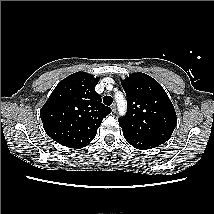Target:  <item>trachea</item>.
<instances>
[{
  "label": "trachea",
  "instance_id": "3493384b",
  "mask_svg": "<svg viewBox=\"0 0 214 214\" xmlns=\"http://www.w3.org/2000/svg\"><path fill=\"white\" fill-rule=\"evenodd\" d=\"M112 102H113V99L111 96H105L103 98V103L107 106H110L112 104Z\"/></svg>",
  "mask_w": 214,
  "mask_h": 214
}]
</instances>
